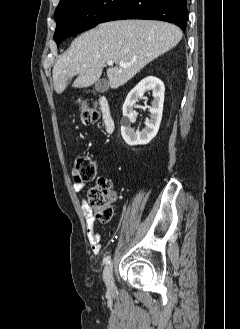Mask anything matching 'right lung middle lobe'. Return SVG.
I'll use <instances>...</instances> for the list:
<instances>
[{"instance_id":"right-lung-middle-lobe-1","label":"right lung middle lobe","mask_w":240,"mask_h":329,"mask_svg":"<svg viewBox=\"0 0 240 329\" xmlns=\"http://www.w3.org/2000/svg\"><path fill=\"white\" fill-rule=\"evenodd\" d=\"M124 0H71L56 9L54 40L57 45L66 37L91 29Z\"/></svg>"}]
</instances>
